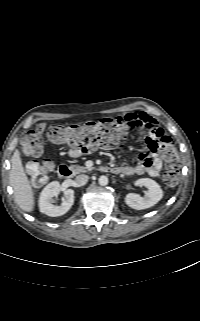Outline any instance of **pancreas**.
Listing matches in <instances>:
<instances>
[{
	"instance_id": "pancreas-1",
	"label": "pancreas",
	"mask_w": 200,
	"mask_h": 321,
	"mask_svg": "<svg viewBox=\"0 0 200 321\" xmlns=\"http://www.w3.org/2000/svg\"><path fill=\"white\" fill-rule=\"evenodd\" d=\"M71 169L75 174L82 173V172L85 173L91 170L90 168L79 166V165H73L71 166Z\"/></svg>"
}]
</instances>
